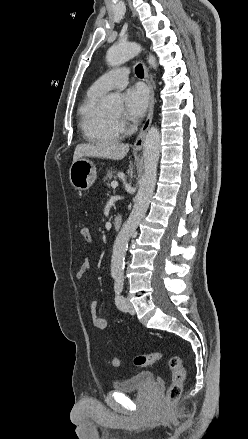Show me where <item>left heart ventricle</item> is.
I'll return each mask as SVG.
<instances>
[{
  "instance_id": "left-heart-ventricle-1",
  "label": "left heart ventricle",
  "mask_w": 248,
  "mask_h": 439,
  "mask_svg": "<svg viewBox=\"0 0 248 439\" xmlns=\"http://www.w3.org/2000/svg\"><path fill=\"white\" fill-rule=\"evenodd\" d=\"M121 114H122V111L120 110V111H118V112L112 114L111 117H112V118H119V117L121 116Z\"/></svg>"
}]
</instances>
